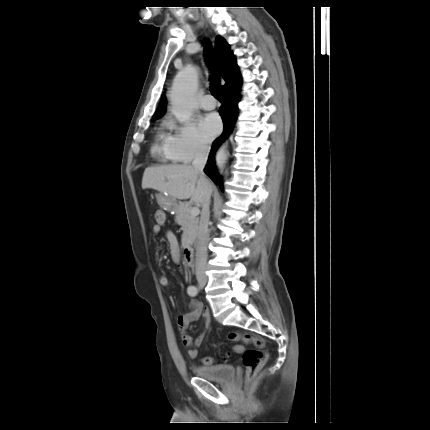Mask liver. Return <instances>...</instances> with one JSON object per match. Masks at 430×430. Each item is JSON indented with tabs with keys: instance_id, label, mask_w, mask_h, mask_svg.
<instances>
[{
	"instance_id": "6515ba94",
	"label": "liver",
	"mask_w": 430,
	"mask_h": 430,
	"mask_svg": "<svg viewBox=\"0 0 430 430\" xmlns=\"http://www.w3.org/2000/svg\"><path fill=\"white\" fill-rule=\"evenodd\" d=\"M152 188L167 193L172 198L191 200L202 204L206 193H212L213 186L208 180L204 184L191 165H160L145 169L142 189Z\"/></svg>"
}]
</instances>
